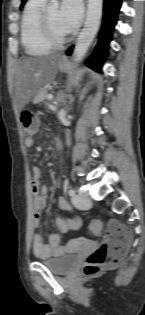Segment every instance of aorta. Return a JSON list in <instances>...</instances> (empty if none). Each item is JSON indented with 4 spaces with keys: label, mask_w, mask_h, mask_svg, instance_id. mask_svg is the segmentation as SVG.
I'll list each match as a JSON object with an SVG mask.
<instances>
[{
    "label": "aorta",
    "mask_w": 145,
    "mask_h": 315,
    "mask_svg": "<svg viewBox=\"0 0 145 315\" xmlns=\"http://www.w3.org/2000/svg\"><path fill=\"white\" fill-rule=\"evenodd\" d=\"M102 7L103 0L88 1L84 28L78 36L73 52L74 61L76 63H79L83 59L98 31L102 15ZM51 8H58L57 0H52Z\"/></svg>",
    "instance_id": "1"
}]
</instances>
